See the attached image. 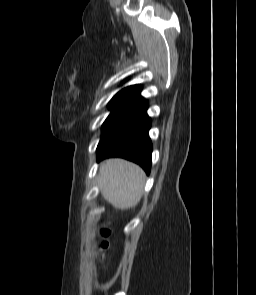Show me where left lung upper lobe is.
Here are the masks:
<instances>
[{
	"label": "left lung upper lobe",
	"instance_id": "left-lung-upper-lobe-1",
	"mask_svg": "<svg viewBox=\"0 0 256 295\" xmlns=\"http://www.w3.org/2000/svg\"><path fill=\"white\" fill-rule=\"evenodd\" d=\"M141 86L132 85L119 91L109 102L110 115L102 126L101 138L116 128L129 116L148 104L141 95Z\"/></svg>",
	"mask_w": 256,
	"mask_h": 295
}]
</instances>
